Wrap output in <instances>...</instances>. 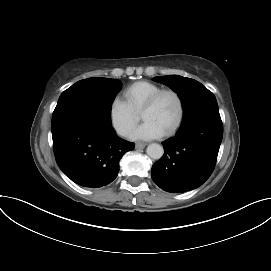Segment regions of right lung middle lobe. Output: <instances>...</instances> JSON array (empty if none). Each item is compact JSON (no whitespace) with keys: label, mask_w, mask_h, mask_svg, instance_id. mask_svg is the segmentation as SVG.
Returning <instances> with one entry per match:
<instances>
[{"label":"right lung middle lobe","mask_w":271,"mask_h":271,"mask_svg":"<svg viewBox=\"0 0 271 271\" xmlns=\"http://www.w3.org/2000/svg\"><path fill=\"white\" fill-rule=\"evenodd\" d=\"M121 86L119 80L109 78L78 81L61 94L52 115L51 127L93 114L104 115L110 120L111 106Z\"/></svg>","instance_id":"right-lung-middle-lobe-1"}]
</instances>
